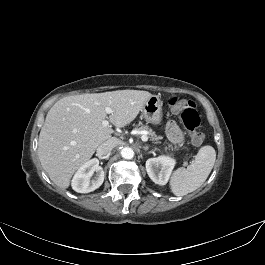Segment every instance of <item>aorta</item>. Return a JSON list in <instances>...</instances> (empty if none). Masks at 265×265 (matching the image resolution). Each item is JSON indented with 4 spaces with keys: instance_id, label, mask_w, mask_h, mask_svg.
Wrapping results in <instances>:
<instances>
[{
    "instance_id": "1",
    "label": "aorta",
    "mask_w": 265,
    "mask_h": 265,
    "mask_svg": "<svg viewBox=\"0 0 265 265\" xmlns=\"http://www.w3.org/2000/svg\"><path fill=\"white\" fill-rule=\"evenodd\" d=\"M121 156L124 159H132L134 157V151L130 147H125L121 150Z\"/></svg>"
}]
</instances>
